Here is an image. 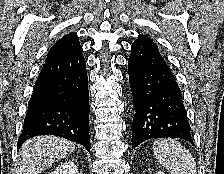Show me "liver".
<instances>
[{
	"label": "liver",
	"instance_id": "obj_1",
	"mask_svg": "<svg viewBox=\"0 0 224 174\" xmlns=\"http://www.w3.org/2000/svg\"><path fill=\"white\" fill-rule=\"evenodd\" d=\"M74 149L73 142L60 137L51 135L33 137L24 142L20 148L16 174H40Z\"/></svg>",
	"mask_w": 224,
	"mask_h": 174
}]
</instances>
